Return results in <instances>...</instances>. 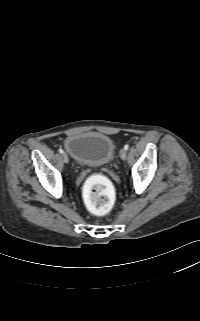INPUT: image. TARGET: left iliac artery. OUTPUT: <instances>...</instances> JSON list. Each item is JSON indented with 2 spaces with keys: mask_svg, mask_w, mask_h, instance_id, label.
<instances>
[{
  "mask_svg": "<svg viewBox=\"0 0 200 321\" xmlns=\"http://www.w3.org/2000/svg\"><path fill=\"white\" fill-rule=\"evenodd\" d=\"M124 149H125V150H128V149H129V145L126 144V145L124 146Z\"/></svg>",
  "mask_w": 200,
  "mask_h": 321,
  "instance_id": "44dca946",
  "label": "left iliac artery"
}]
</instances>
